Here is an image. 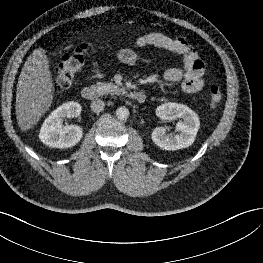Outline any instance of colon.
<instances>
[{"instance_id": "5ec220e1", "label": "colon", "mask_w": 263, "mask_h": 263, "mask_svg": "<svg viewBox=\"0 0 263 263\" xmlns=\"http://www.w3.org/2000/svg\"><path fill=\"white\" fill-rule=\"evenodd\" d=\"M87 51V44H79L69 50L55 68L53 87L56 91L67 89L72 83L76 74L84 63V55ZM224 94L220 87L212 86L208 91V103L211 108L218 107Z\"/></svg>"}]
</instances>
